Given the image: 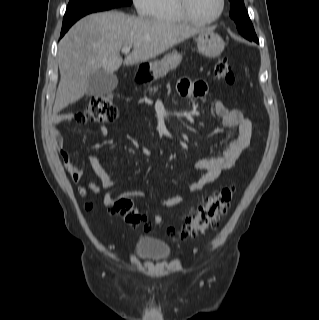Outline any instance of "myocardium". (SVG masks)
<instances>
[{
    "mask_svg": "<svg viewBox=\"0 0 319 320\" xmlns=\"http://www.w3.org/2000/svg\"><path fill=\"white\" fill-rule=\"evenodd\" d=\"M175 1H176V6L178 11L186 20V22H189L194 25H209V24L216 23L221 19L226 8V0H220L219 11L214 17L210 19H198L193 15L191 11L190 0H175Z\"/></svg>",
    "mask_w": 319,
    "mask_h": 320,
    "instance_id": "1",
    "label": "myocardium"
}]
</instances>
